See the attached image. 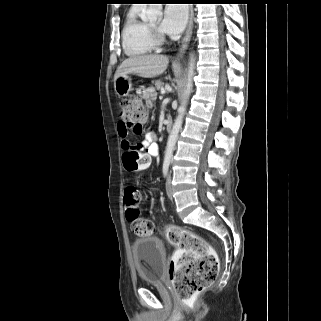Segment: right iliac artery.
I'll return each mask as SVG.
<instances>
[{
	"label": "right iliac artery",
	"mask_w": 321,
	"mask_h": 321,
	"mask_svg": "<svg viewBox=\"0 0 321 321\" xmlns=\"http://www.w3.org/2000/svg\"><path fill=\"white\" fill-rule=\"evenodd\" d=\"M168 170H169V163H164V164H163V174H164V177H167V176H168Z\"/></svg>",
	"instance_id": "obj_1"
}]
</instances>
